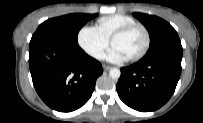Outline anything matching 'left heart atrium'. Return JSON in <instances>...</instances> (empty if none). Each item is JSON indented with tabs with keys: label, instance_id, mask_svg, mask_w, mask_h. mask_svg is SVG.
<instances>
[{
	"label": "left heart atrium",
	"instance_id": "39dd6f15",
	"mask_svg": "<svg viewBox=\"0 0 203 123\" xmlns=\"http://www.w3.org/2000/svg\"><path fill=\"white\" fill-rule=\"evenodd\" d=\"M105 58L114 63H121L128 60V58L116 47H112L106 54Z\"/></svg>",
	"mask_w": 203,
	"mask_h": 123
}]
</instances>
